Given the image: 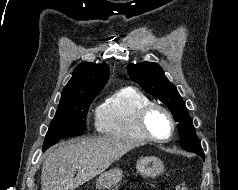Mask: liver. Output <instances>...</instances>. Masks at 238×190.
Listing matches in <instances>:
<instances>
[{
  "label": "liver",
  "instance_id": "1",
  "mask_svg": "<svg viewBox=\"0 0 238 190\" xmlns=\"http://www.w3.org/2000/svg\"><path fill=\"white\" fill-rule=\"evenodd\" d=\"M141 145V142L120 137L62 143L50 152L43 162L42 190H75L102 174L124 154Z\"/></svg>",
  "mask_w": 238,
  "mask_h": 190
}]
</instances>
